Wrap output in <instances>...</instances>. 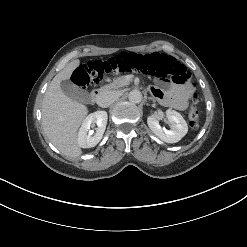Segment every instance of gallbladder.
<instances>
[{"instance_id":"gallbladder-1","label":"gallbladder","mask_w":247,"mask_h":247,"mask_svg":"<svg viewBox=\"0 0 247 247\" xmlns=\"http://www.w3.org/2000/svg\"><path fill=\"white\" fill-rule=\"evenodd\" d=\"M61 90L70 99L79 103L87 104L90 101V95L88 92L77 88L71 81L63 80L60 83Z\"/></svg>"}]
</instances>
